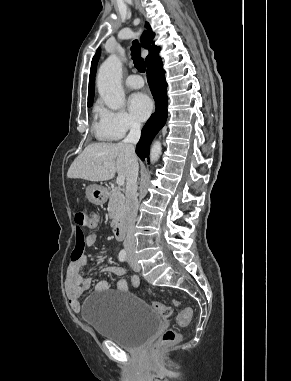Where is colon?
Masks as SVG:
<instances>
[{"label": "colon", "mask_w": 291, "mask_h": 381, "mask_svg": "<svg viewBox=\"0 0 291 381\" xmlns=\"http://www.w3.org/2000/svg\"><path fill=\"white\" fill-rule=\"evenodd\" d=\"M74 222L75 225L77 226V238L79 240L83 239V233L86 230H95L98 226V218L95 214L90 213L84 209H77L74 212ZM82 253L81 249L77 252V255H80ZM175 304H179L178 301H175ZM152 307L154 310L163 318H168L170 317L172 310L170 307L157 302V301H152ZM192 309L189 307L184 308L179 316L177 317V324L180 327H186L192 317ZM179 338V335L177 331L173 329H168L166 330L160 340L154 345L153 347V352L158 353L162 349L174 345Z\"/></svg>", "instance_id": "1"}]
</instances>
